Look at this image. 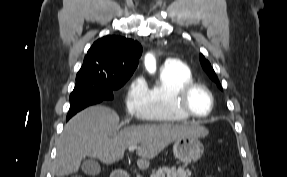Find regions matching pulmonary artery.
Instances as JSON below:
<instances>
[{
    "instance_id": "1",
    "label": "pulmonary artery",
    "mask_w": 287,
    "mask_h": 177,
    "mask_svg": "<svg viewBox=\"0 0 287 177\" xmlns=\"http://www.w3.org/2000/svg\"><path fill=\"white\" fill-rule=\"evenodd\" d=\"M176 63H177V59H175V58H168V59L165 61V64H167V65L176 64Z\"/></svg>"
}]
</instances>
